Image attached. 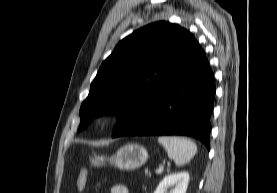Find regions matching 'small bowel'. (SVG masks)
Wrapping results in <instances>:
<instances>
[{
    "mask_svg": "<svg viewBox=\"0 0 277 193\" xmlns=\"http://www.w3.org/2000/svg\"><path fill=\"white\" fill-rule=\"evenodd\" d=\"M110 193H129V191L126 186L117 184L111 187Z\"/></svg>",
    "mask_w": 277,
    "mask_h": 193,
    "instance_id": "small-bowel-1",
    "label": "small bowel"
}]
</instances>
